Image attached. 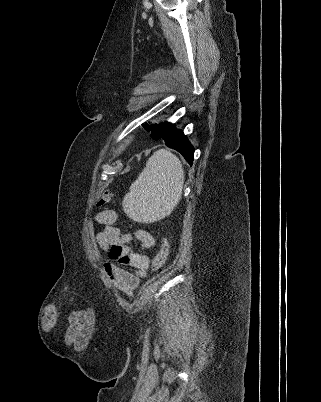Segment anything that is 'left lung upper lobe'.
Listing matches in <instances>:
<instances>
[{
    "instance_id": "obj_1",
    "label": "left lung upper lobe",
    "mask_w": 321,
    "mask_h": 402,
    "mask_svg": "<svg viewBox=\"0 0 321 402\" xmlns=\"http://www.w3.org/2000/svg\"><path fill=\"white\" fill-rule=\"evenodd\" d=\"M143 127L146 128L148 131L151 132V137H152L153 139H155V138L157 137V135H156L157 124L151 125V126H149L148 124H145V125H143ZM155 140H156V139H155Z\"/></svg>"
}]
</instances>
